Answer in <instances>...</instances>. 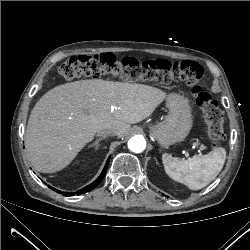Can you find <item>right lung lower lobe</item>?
I'll return each mask as SVG.
<instances>
[{"label": "right lung lower lobe", "mask_w": 250, "mask_h": 250, "mask_svg": "<svg viewBox=\"0 0 250 250\" xmlns=\"http://www.w3.org/2000/svg\"><path fill=\"white\" fill-rule=\"evenodd\" d=\"M108 162H109V158L105 164V167L101 173V175L93 182L91 183L90 185L76 191V192H61V191H58L56 189H54V191L58 192V193H62L63 195L65 196H73V195H80V194H83V193H86V192H89L91 190H93L94 188H96L98 186V184L103 180L104 176H105V173H106V170H107V167H108ZM50 187V186H48ZM51 189H53L52 187H50Z\"/></svg>", "instance_id": "98d812e1"}]
</instances>
